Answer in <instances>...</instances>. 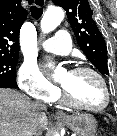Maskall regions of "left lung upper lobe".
<instances>
[{"mask_svg":"<svg viewBox=\"0 0 117 136\" xmlns=\"http://www.w3.org/2000/svg\"><path fill=\"white\" fill-rule=\"evenodd\" d=\"M66 10L77 43L88 60L102 75H108L107 47L92 18L88 0H52Z\"/></svg>","mask_w":117,"mask_h":136,"instance_id":"5c2ea615","label":"left lung upper lobe"}]
</instances>
